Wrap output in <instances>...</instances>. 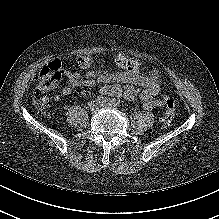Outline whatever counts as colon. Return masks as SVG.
Masks as SVG:
<instances>
[{
    "label": "colon",
    "instance_id": "1",
    "mask_svg": "<svg viewBox=\"0 0 219 219\" xmlns=\"http://www.w3.org/2000/svg\"><path fill=\"white\" fill-rule=\"evenodd\" d=\"M91 63V61H90ZM89 63V65H90ZM86 65V63H85ZM62 77V64L59 60L51 61L39 73L34 89L35 99L38 107L45 111L48 108L46 103V94L54 89L60 82ZM166 111L162 118L163 126H169L175 116V102L169 96L163 97Z\"/></svg>",
    "mask_w": 219,
    "mask_h": 219
}]
</instances>
